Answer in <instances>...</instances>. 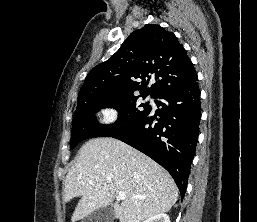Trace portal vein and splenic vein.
<instances>
[{"label": "portal vein and splenic vein", "mask_w": 257, "mask_h": 222, "mask_svg": "<svg viewBox=\"0 0 257 222\" xmlns=\"http://www.w3.org/2000/svg\"><path fill=\"white\" fill-rule=\"evenodd\" d=\"M117 197L121 200L125 199L126 198V194L123 192V191H118L117 192ZM134 199H140L141 197L140 196H134L133 197Z\"/></svg>", "instance_id": "obj_1"}]
</instances>
